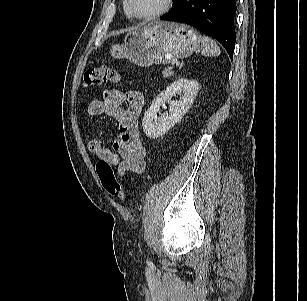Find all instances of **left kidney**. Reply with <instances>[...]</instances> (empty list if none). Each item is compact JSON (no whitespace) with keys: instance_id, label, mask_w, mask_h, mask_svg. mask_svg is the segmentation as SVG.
<instances>
[{"instance_id":"1","label":"left kidney","mask_w":307,"mask_h":301,"mask_svg":"<svg viewBox=\"0 0 307 301\" xmlns=\"http://www.w3.org/2000/svg\"><path fill=\"white\" fill-rule=\"evenodd\" d=\"M198 90L199 83L197 81L179 78L168 86L165 91L157 95L142 120L146 136L155 139L168 132L190 109ZM176 94L180 95L179 100L171 101ZM166 101H171L169 112H165L158 117L160 107L164 106Z\"/></svg>"}]
</instances>
